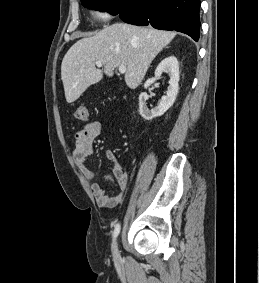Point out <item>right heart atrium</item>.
I'll list each match as a JSON object with an SVG mask.
<instances>
[{
	"label": "right heart atrium",
	"mask_w": 259,
	"mask_h": 283,
	"mask_svg": "<svg viewBox=\"0 0 259 283\" xmlns=\"http://www.w3.org/2000/svg\"><path fill=\"white\" fill-rule=\"evenodd\" d=\"M95 14L101 21L104 22L110 20L113 16L112 10L107 7L97 9Z\"/></svg>",
	"instance_id": "obj_1"
}]
</instances>
